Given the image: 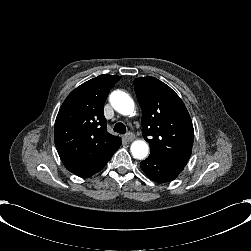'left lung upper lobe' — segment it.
Segmentation results:
<instances>
[{
	"instance_id": "1",
	"label": "left lung upper lobe",
	"mask_w": 251,
	"mask_h": 251,
	"mask_svg": "<svg viewBox=\"0 0 251 251\" xmlns=\"http://www.w3.org/2000/svg\"><path fill=\"white\" fill-rule=\"evenodd\" d=\"M134 88L150 155L185 167L192 152L194 129L184 103L168 85L154 77L136 78Z\"/></svg>"
}]
</instances>
